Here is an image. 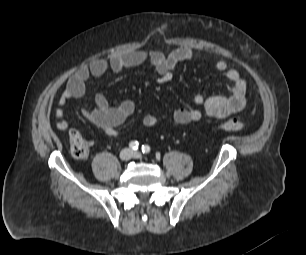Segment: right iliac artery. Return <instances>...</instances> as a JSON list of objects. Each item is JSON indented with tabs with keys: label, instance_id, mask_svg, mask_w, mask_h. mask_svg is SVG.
Wrapping results in <instances>:
<instances>
[{
	"label": "right iliac artery",
	"instance_id": "1",
	"mask_svg": "<svg viewBox=\"0 0 306 255\" xmlns=\"http://www.w3.org/2000/svg\"><path fill=\"white\" fill-rule=\"evenodd\" d=\"M129 147H130V149H132V150H137L138 147H139V143H138L137 141H131V142L129 143Z\"/></svg>",
	"mask_w": 306,
	"mask_h": 255
}]
</instances>
